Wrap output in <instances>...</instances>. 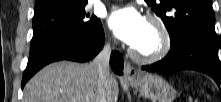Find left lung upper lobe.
Returning a JSON list of instances; mask_svg holds the SVG:
<instances>
[{"mask_svg": "<svg viewBox=\"0 0 221 102\" xmlns=\"http://www.w3.org/2000/svg\"><path fill=\"white\" fill-rule=\"evenodd\" d=\"M163 20L171 45L187 37L200 38L218 49L212 0H148Z\"/></svg>", "mask_w": 221, "mask_h": 102, "instance_id": "5c2ea615", "label": "left lung upper lobe"}]
</instances>
